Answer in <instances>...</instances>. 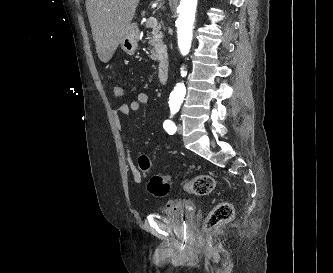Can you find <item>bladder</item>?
<instances>
[{"label":"bladder","mask_w":333,"mask_h":273,"mask_svg":"<svg viewBox=\"0 0 333 273\" xmlns=\"http://www.w3.org/2000/svg\"><path fill=\"white\" fill-rule=\"evenodd\" d=\"M195 206L192 201L174 200L162 209V216L178 228L189 227L195 220Z\"/></svg>","instance_id":"bladder-1"}]
</instances>
